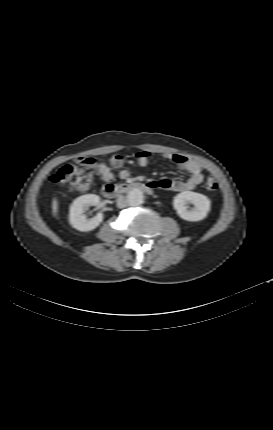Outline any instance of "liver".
Listing matches in <instances>:
<instances>
[{
  "label": "liver",
  "mask_w": 273,
  "mask_h": 430,
  "mask_svg": "<svg viewBox=\"0 0 273 430\" xmlns=\"http://www.w3.org/2000/svg\"><path fill=\"white\" fill-rule=\"evenodd\" d=\"M52 208H53V214L54 216H57V212H58V201L56 198L53 199V204H52Z\"/></svg>",
  "instance_id": "obj_1"
}]
</instances>
